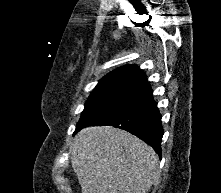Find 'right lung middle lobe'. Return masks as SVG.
Masks as SVG:
<instances>
[{
    "mask_svg": "<svg viewBox=\"0 0 221 193\" xmlns=\"http://www.w3.org/2000/svg\"><path fill=\"white\" fill-rule=\"evenodd\" d=\"M144 90L143 87L126 84H111L95 88L85 103L76 129L121 108Z\"/></svg>",
    "mask_w": 221,
    "mask_h": 193,
    "instance_id": "dd1d6c3e",
    "label": "right lung middle lobe"
}]
</instances>
